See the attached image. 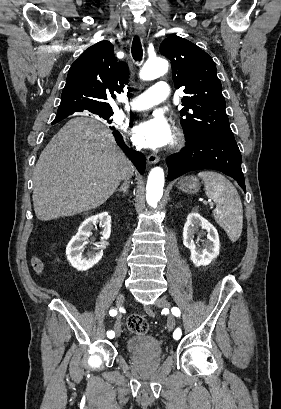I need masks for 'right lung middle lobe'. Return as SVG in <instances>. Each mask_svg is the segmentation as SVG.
<instances>
[{"mask_svg":"<svg viewBox=\"0 0 281 409\" xmlns=\"http://www.w3.org/2000/svg\"><path fill=\"white\" fill-rule=\"evenodd\" d=\"M95 114L107 120L110 116L113 115V111H101V112H96Z\"/></svg>","mask_w":281,"mask_h":409,"instance_id":"right-lung-middle-lobe-1","label":"right lung middle lobe"}]
</instances>
